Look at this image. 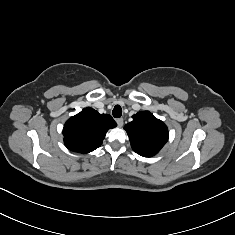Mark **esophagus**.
<instances>
[{"label": "esophagus", "instance_id": "esophagus-1", "mask_svg": "<svg viewBox=\"0 0 235 235\" xmlns=\"http://www.w3.org/2000/svg\"><path fill=\"white\" fill-rule=\"evenodd\" d=\"M116 122H117V124H118V126H119V127H122V126H123V124H124V121H123V119H122V118H118V119H116Z\"/></svg>", "mask_w": 235, "mask_h": 235}]
</instances>
